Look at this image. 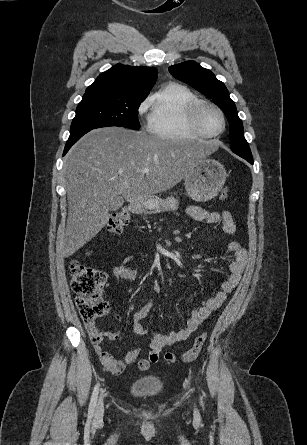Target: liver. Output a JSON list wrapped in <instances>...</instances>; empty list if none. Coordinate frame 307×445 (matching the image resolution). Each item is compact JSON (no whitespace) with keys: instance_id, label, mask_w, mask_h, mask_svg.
I'll list each match as a JSON object with an SVG mask.
<instances>
[{"instance_id":"obj_1","label":"liver","mask_w":307,"mask_h":445,"mask_svg":"<svg viewBox=\"0 0 307 445\" xmlns=\"http://www.w3.org/2000/svg\"><path fill=\"white\" fill-rule=\"evenodd\" d=\"M202 156L197 144L154 138L143 130L105 126L87 132L65 164L68 216L63 257L74 255L107 225L117 194L128 202L156 196L183 180ZM145 166L150 172H141Z\"/></svg>"}]
</instances>
